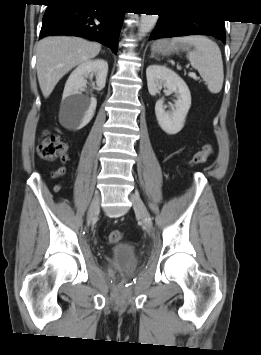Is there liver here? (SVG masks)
I'll list each match as a JSON object with an SVG mask.
<instances>
[{
    "instance_id": "liver-1",
    "label": "liver",
    "mask_w": 261,
    "mask_h": 355,
    "mask_svg": "<svg viewBox=\"0 0 261 355\" xmlns=\"http://www.w3.org/2000/svg\"><path fill=\"white\" fill-rule=\"evenodd\" d=\"M101 45L78 37L54 36L42 39L37 46V77L40 89L48 98L59 80L72 68L94 57Z\"/></svg>"
}]
</instances>
